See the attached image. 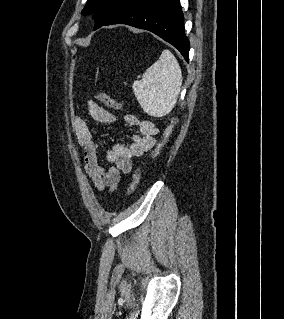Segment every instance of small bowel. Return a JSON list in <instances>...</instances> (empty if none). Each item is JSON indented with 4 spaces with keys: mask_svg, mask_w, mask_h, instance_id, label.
I'll list each match as a JSON object with an SVG mask.
<instances>
[{
    "mask_svg": "<svg viewBox=\"0 0 284 319\" xmlns=\"http://www.w3.org/2000/svg\"><path fill=\"white\" fill-rule=\"evenodd\" d=\"M88 114L104 124L117 121L115 114L106 110L93 101L87 102ZM126 124L138 127L139 134L133 135L130 144L117 143L109 147L105 156L110 167L105 168L99 159V147L94 141L91 128L82 117L74 119V132L79 146L84 152V170L88 178L98 191L108 189L113 192L117 189L121 176L131 172L133 159L150 151L156 144L159 129L150 120H141L136 115L127 114L123 117Z\"/></svg>",
    "mask_w": 284,
    "mask_h": 319,
    "instance_id": "obj_1",
    "label": "small bowel"
}]
</instances>
